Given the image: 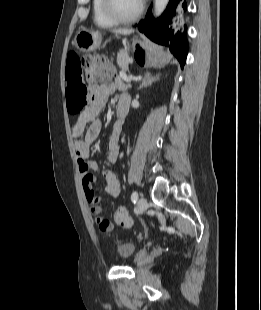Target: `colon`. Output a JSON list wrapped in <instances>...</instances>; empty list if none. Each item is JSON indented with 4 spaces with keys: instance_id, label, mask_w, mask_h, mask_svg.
Returning <instances> with one entry per match:
<instances>
[{
    "instance_id": "colon-1",
    "label": "colon",
    "mask_w": 261,
    "mask_h": 310,
    "mask_svg": "<svg viewBox=\"0 0 261 310\" xmlns=\"http://www.w3.org/2000/svg\"><path fill=\"white\" fill-rule=\"evenodd\" d=\"M86 66V79L91 83H98L112 75V67L108 59L103 55L88 56L82 60ZM115 221L123 227H131L133 219L124 207H119L115 212ZM103 232H109L111 225L103 221L99 225Z\"/></svg>"
}]
</instances>
